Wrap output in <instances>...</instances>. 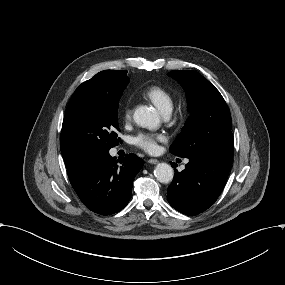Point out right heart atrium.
<instances>
[{
  "label": "right heart atrium",
  "instance_id": "d8ad5b80",
  "mask_svg": "<svg viewBox=\"0 0 285 285\" xmlns=\"http://www.w3.org/2000/svg\"><path fill=\"white\" fill-rule=\"evenodd\" d=\"M134 104L130 100H126L122 106V116L125 120L130 119Z\"/></svg>",
  "mask_w": 285,
  "mask_h": 285
}]
</instances>
